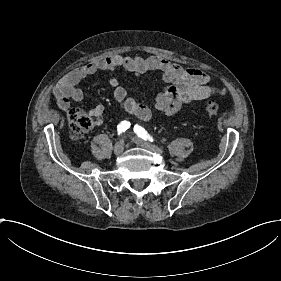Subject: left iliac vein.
Masks as SVG:
<instances>
[{"label": "left iliac vein", "instance_id": "obj_1", "mask_svg": "<svg viewBox=\"0 0 281 281\" xmlns=\"http://www.w3.org/2000/svg\"><path fill=\"white\" fill-rule=\"evenodd\" d=\"M132 142H135L137 143L138 145L140 146H143L144 148H147V149H150V151H153V152H158L159 154L162 153L163 151L160 150L158 147H156V145H152V144H149V141H145V140H142L141 138L139 137H132Z\"/></svg>", "mask_w": 281, "mask_h": 281}]
</instances>
